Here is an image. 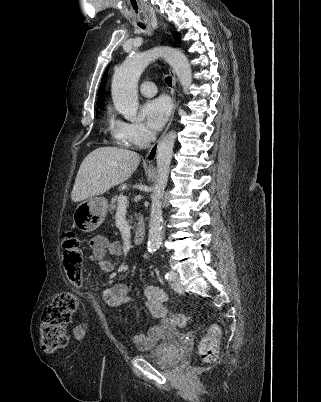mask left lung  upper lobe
<instances>
[{
  "label": "left lung upper lobe",
  "instance_id": "1",
  "mask_svg": "<svg viewBox=\"0 0 321 402\" xmlns=\"http://www.w3.org/2000/svg\"><path fill=\"white\" fill-rule=\"evenodd\" d=\"M179 34L178 33H174V38L176 39V40H179Z\"/></svg>",
  "mask_w": 321,
  "mask_h": 402
}]
</instances>
